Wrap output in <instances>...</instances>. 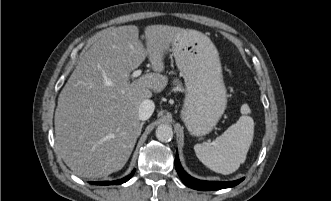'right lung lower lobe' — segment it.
Listing matches in <instances>:
<instances>
[{
    "label": "right lung lower lobe",
    "mask_w": 331,
    "mask_h": 201,
    "mask_svg": "<svg viewBox=\"0 0 331 201\" xmlns=\"http://www.w3.org/2000/svg\"><path fill=\"white\" fill-rule=\"evenodd\" d=\"M134 172H135V169L127 177L116 180V181H103V182H91V183L92 184H97V185H114V184L119 185V184H122V183L128 181L133 176Z\"/></svg>",
    "instance_id": "1"
}]
</instances>
